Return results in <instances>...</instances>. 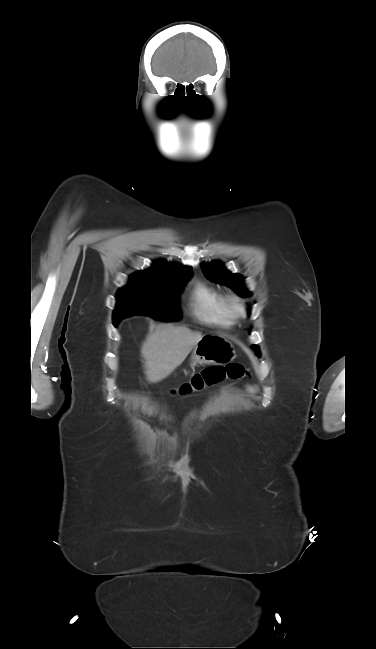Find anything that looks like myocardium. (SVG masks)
<instances>
[{
    "mask_svg": "<svg viewBox=\"0 0 376 649\" xmlns=\"http://www.w3.org/2000/svg\"><path fill=\"white\" fill-rule=\"evenodd\" d=\"M226 301L230 311L235 316H242L245 313V302L244 300L237 295H228Z\"/></svg>",
    "mask_w": 376,
    "mask_h": 649,
    "instance_id": "obj_1",
    "label": "myocardium"
}]
</instances>
